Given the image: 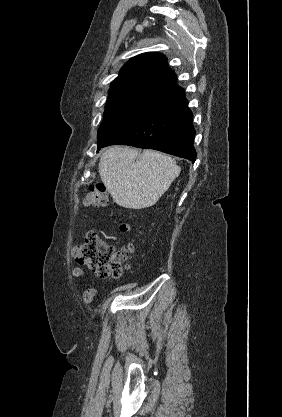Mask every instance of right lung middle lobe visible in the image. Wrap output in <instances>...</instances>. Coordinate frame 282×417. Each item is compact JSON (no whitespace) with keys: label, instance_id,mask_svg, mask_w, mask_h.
Returning a JSON list of instances; mask_svg holds the SVG:
<instances>
[{"label":"right lung middle lobe","instance_id":"1","mask_svg":"<svg viewBox=\"0 0 282 417\" xmlns=\"http://www.w3.org/2000/svg\"><path fill=\"white\" fill-rule=\"evenodd\" d=\"M160 94L127 91L109 93L104 112V120L98 130V147L113 133L124 127Z\"/></svg>","mask_w":282,"mask_h":417}]
</instances>
